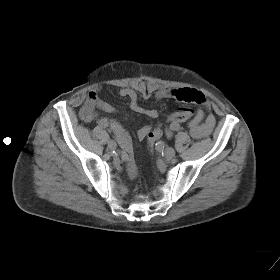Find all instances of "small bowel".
Segmentation results:
<instances>
[{"instance_id": "obj_1", "label": "small bowel", "mask_w": 280, "mask_h": 280, "mask_svg": "<svg viewBox=\"0 0 280 280\" xmlns=\"http://www.w3.org/2000/svg\"><path fill=\"white\" fill-rule=\"evenodd\" d=\"M100 87H96L88 93V96L80 109V116L85 122H92L97 119L99 111L117 112V109L109 103L103 101L99 97ZM118 95L123 98H128L132 111L145 115L150 118L157 117L156 109L144 108L138 103V96L132 88H120ZM157 98L175 99L181 102L194 103L202 106L205 110H209V102L205 95L198 90L190 88H179L173 90H162L156 93ZM216 124L215 116L211 113L205 115L202 108L196 109L193 116L187 122L188 130L195 139H202L209 136ZM111 129L115 133H119L128 138L126 132L116 122H111ZM151 130L150 126H145L138 131V138L144 139ZM166 134L169 135L168 129ZM127 171L130 177H135L138 173L137 167L132 158L127 161Z\"/></svg>"}]
</instances>
